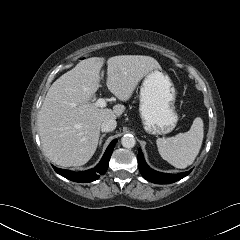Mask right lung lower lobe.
I'll return each mask as SVG.
<instances>
[{"label": "right lung lower lobe", "instance_id": "right-lung-lower-lobe-1", "mask_svg": "<svg viewBox=\"0 0 240 240\" xmlns=\"http://www.w3.org/2000/svg\"><path fill=\"white\" fill-rule=\"evenodd\" d=\"M117 140H113L106 149L100 163L92 169L73 172L70 170L59 169L53 166L54 170L61 176L75 182L87 183L97 180L101 175L105 174L108 168V163L113 152Z\"/></svg>", "mask_w": 240, "mask_h": 240}]
</instances>
